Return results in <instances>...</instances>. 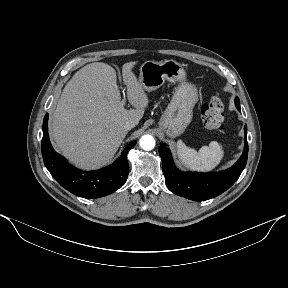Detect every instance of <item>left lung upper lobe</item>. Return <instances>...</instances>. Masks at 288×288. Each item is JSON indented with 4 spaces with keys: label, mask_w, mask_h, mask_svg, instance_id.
<instances>
[{
    "label": "left lung upper lobe",
    "mask_w": 288,
    "mask_h": 288,
    "mask_svg": "<svg viewBox=\"0 0 288 288\" xmlns=\"http://www.w3.org/2000/svg\"><path fill=\"white\" fill-rule=\"evenodd\" d=\"M235 101H239V98H238V97H236Z\"/></svg>",
    "instance_id": "1"
}]
</instances>
